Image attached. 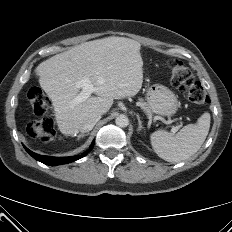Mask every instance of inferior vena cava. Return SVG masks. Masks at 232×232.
Masks as SVG:
<instances>
[{"label": "inferior vena cava", "mask_w": 232, "mask_h": 232, "mask_svg": "<svg viewBox=\"0 0 232 232\" xmlns=\"http://www.w3.org/2000/svg\"><path fill=\"white\" fill-rule=\"evenodd\" d=\"M100 118L101 114L99 113L90 115L86 119L85 123L80 127V132L84 133L92 130L94 125L100 120Z\"/></svg>", "instance_id": "1"}]
</instances>
